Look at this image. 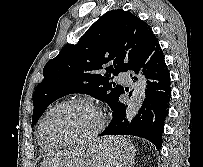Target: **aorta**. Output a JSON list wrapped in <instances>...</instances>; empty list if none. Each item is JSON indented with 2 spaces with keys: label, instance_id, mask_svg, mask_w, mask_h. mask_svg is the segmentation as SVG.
Here are the masks:
<instances>
[{
  "label": "aorta",
  "instance_id": "obj_1",
  "mask_svg": "<svg viewBox=\"0 0 203 167\" xmlns=\"http://www.w3.org/2000/svg\"><path fill=\"white\" fill-rule=\"evenodd\" d=\"M146 85V78L143 75H140L132 97L126 108L125 115L128 122H131L134 119L143 104L145 99Z\"/></svg>",
  "mask_w": 203,
  "mask_h": 167
}]
</instances>
